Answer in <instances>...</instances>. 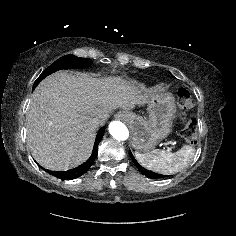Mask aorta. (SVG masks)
<instances>
[{
  "instance_id": "1",
  "label": "aorta",
  "mask_w": 236,
  "mask_h": 236,
  "mask_svg": "<svg viewBox=\"0 0 236 236\" xmlns=\"http://www.w3.org/2000/svg\"><path fill=\"white\" fill-rule=\"evenodd\" d=\"M109 133L112 135L113 138L116 140H126L129 136L128 128L125 126L124 123L120 121H112L109 124Z\"/></svg>"
}]
</instances>
